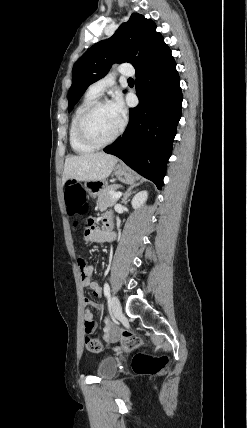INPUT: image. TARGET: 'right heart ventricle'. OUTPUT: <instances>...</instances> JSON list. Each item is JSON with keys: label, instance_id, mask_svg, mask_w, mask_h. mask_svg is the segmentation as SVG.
<instances>
[{"label": "right heart ventricle", "instance_id": "right-heart-ventricle-1", "mask_svg": "<svg viewBox=\"0 0 247 428\" xmlns=\"http://www.w3.org/2000/svg\"><path fill=\"white\" fill-rule=\"evenodd\" d=\"M97 95L89 90L85 93L81 102L75 108L69 126V142L72 150L78 154H88L93 152L96 148L84 143L77 133V122L82 112L97 99Z\"/></svg>", "mask_w": 247, "mask_h": 428}]
</instances>
